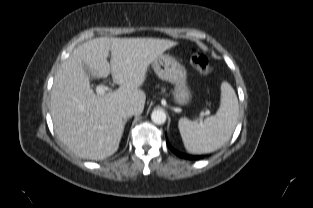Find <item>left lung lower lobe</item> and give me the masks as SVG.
I'll use <instances>...</instances> for the list:
<instances>
[{
  "mask_svg": "<svg viewBox=\"0 0 313 208\" xmlns=\"http://www.w3.org/2000/svg\"><path fill=\"white\" fill-rule=\"evenodd\" d=\"M167 144H168V147L179 157L181 158H185V159H190V160H195V159H199V158H203V156H192V155H187V154H183V153H180L178 152L177 150H175L168 142L167 140Z\"/></svg>",
  "mask_w": 313,
  "mask_h": 208,
  "instance_id": "obj_1",
  "label": "left lung lower lobe"
}]
</instances>
